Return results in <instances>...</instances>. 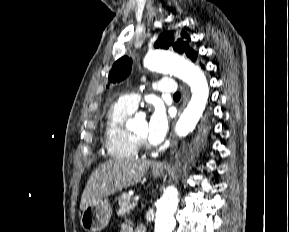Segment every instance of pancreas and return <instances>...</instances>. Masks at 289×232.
Instances as JSON below:
<instances>
[{
	"instance_id": "cf45deb5",
	"label": "pancreas",
	"mask_w": 289,
	"mask_h": 232,
	"mask_svg": "<svg viewBox=\"0 0 289 232\" xmlns=\"http://www.w3.org/2000/svg\"><path fill=\"white\" fill-rule=\"evenodd\" d=\"M119 209L117 211L118 216H125L130 214L134 210L136 204L132 202L129 195H123L118 201Z\"/></svg>"
}]
</instances>
